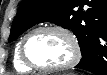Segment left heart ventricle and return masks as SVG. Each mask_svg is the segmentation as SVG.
<instances>
[{
  "mask_svg": "<svg viewBox=\"0 0 107 75\" xmlns=\"http://www.w3.org/2000/svg\"><path fill=\"white\" fill-rule=\"evenodd\" d=\"M31 61L42 66H56L68 62L72 56L69 41L59 33L44 31L33 35L26 46Z\"/></svg>",
  "mask_w": 107,
  "mask_h": 75,
  "instance_id": "left-heart-ventricle-1",
  "label": "left heart ventricle"
}]
</instances>
